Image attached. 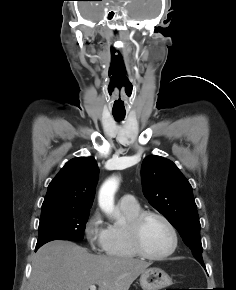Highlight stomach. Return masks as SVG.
Returning a JSON list of instances; mask_svg holds the SVG:
<instances>
[{"label":"stomach","instance_id":"stomach-1","mask_svg":"<svg viewBox=\"0 0 236 290\" xmlns=\"http://www.w3.org/2000/svg\"><path fill=\"white\" fill-rule=\"evenodd\" d=\"M143 290H161L172 284L170 276L160 268H149L139 278Z\"/></svg>","mask_w":236,"mask_h":290}]
</instances>
